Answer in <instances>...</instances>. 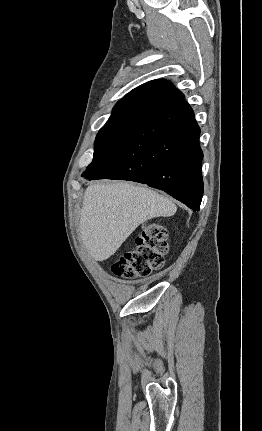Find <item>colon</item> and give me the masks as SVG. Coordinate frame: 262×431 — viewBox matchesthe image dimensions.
I'll list each match as a JSON object with an SVG mask.
<instances>
[{
	"label": "colon",
	"mask_w": 262,
	"mask_h": 431,
	"mask_svg": "<svg viewBox=\"0 0 262 431\" xmlns=\"http://www.w3.org/2000/svg\"><path fill=\"white\" fill-rule=\"evenodd\" d=\"M167 251L165 228L156 222L146 223L136 236L134 246L114 261L111 271L126 280L145 278L163 267Z\"/></svg>",
	"instance_id": "5ec220e1"
}]
</instances>
